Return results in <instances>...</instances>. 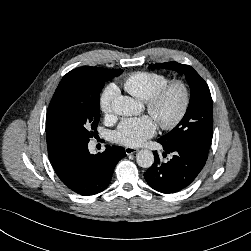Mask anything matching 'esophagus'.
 Segmentation results:
<instances>
[{
	"label": "esophagus",
	"instance_id": "obj_1",
	"mask_svg": "<svg viewBox=\"0 0 251 251\" xmlns=\"http://www.w3.org/2000/svg\"><path fill=\"white\" fill-rule=\"evenodd\" d=\"M138 151L137 148H133V147H126L125 148V152L127 155H130V154H134Z\"/></svg>",
	"mask_w": 251,
	"mask_h": 251
}]
</instances>
